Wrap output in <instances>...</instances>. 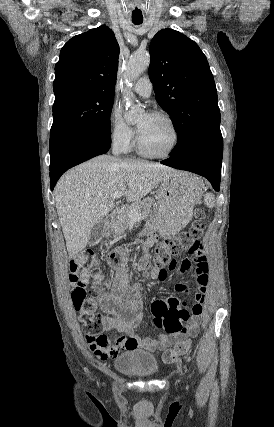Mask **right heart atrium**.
<instances>
[{"label":"right heart atrium","mask_w":274,"mask_h":427,"mask_svg":"<svg viewBox=\"0 0 274 427\" xmlns=\"http://www.w3.org/2000/svg\"><path fill=\"white\" fill-rule=\"evenodd\" d=\"M108 123L111 143L122 152L132 150L135 142V134L125 123L121 111L115 106L110 111Z\"/></svg>","instance_id":"d8ad5b80"}]
</instances>
